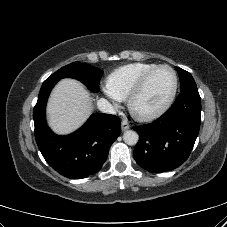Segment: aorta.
<instances>
[{
	"mask_svg": "<svg viewBox=\"0 0 227 227\" xmlns=\"http://www.w3.org/2000/svg\"><path fill=\"white\" fill-rule=\"evenodd\" d=\"M138 139H139V136L135 131L127 130V131L124 132L123 140L127 145L137 144Z\"/></svg>",
	"mask_w": 227,
	"mask_h": 227,
	"instance_id": "1",
	"label": "aorta"
}]
</instances>
